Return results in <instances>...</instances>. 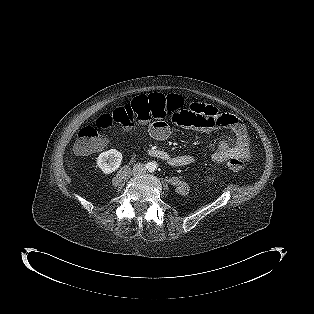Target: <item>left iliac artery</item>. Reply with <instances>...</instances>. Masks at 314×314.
Here are the masks:
<instances>
[{
	"label": "left iliac artery",
	"mask_w": 314,
	"mask_h": 314,
	"mask_svg": "<svg viewBox=\"0 0 314 314\" xmlns=\"http://www.w3.org/2000/svg\"><path fill=\"white\" fill-rule=\"evenodd\" d=\"M152 171H154V168H151V169H150V172H152Z\"/></svg>",
	"instance_id": "1"
}]
</instances>
